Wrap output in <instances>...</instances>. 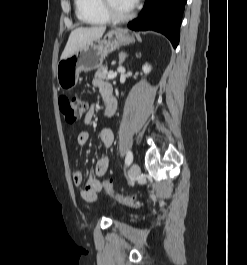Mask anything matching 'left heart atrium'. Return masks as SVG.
Listing matches in <instances>:
<instances>
[{"mask_svg":"<svg viewBox=\"0 0 247 265\" xmlns=\"http://www.w3.org/2000/svg\"><path fill=\"white\" fill-rule=\"evenodd\" d=\"M124 2H126L130 7H133L138 0H123Z\"/></svg>","mask_w":247,"mask_h":265,"instance_id":"1","label":"left heart atrium"}]
</instances>
